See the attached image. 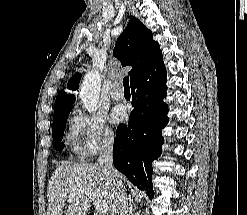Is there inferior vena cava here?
I'll return each instance as SVG.
<instances>
[{"label": "inferior vena cava", "instance_id": "obj_1", "mask_svg": "<svg viewBox=\"0 0 247 215\" xmlns=\"http://www.w3.org/2000/svg\"><path fill=\"white\" fill-rule=\"evenodd\" d=\"M113 143L114 141L112 138L106 139L103 142L98 157V165L103 169L106 180L111 182L116 188V194L112 205V215H128V198L119 179L120 175L113 166Z\"/></svg>", "mask_w": 247, "mask_h": 215}]
</instances>
